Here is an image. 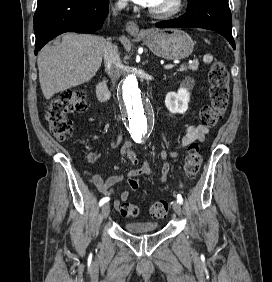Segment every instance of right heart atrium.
Segmentation results:
<instances>
[{
	"label": "right heart atrium",
	"mask_w": 272,
	"mask_h": 282,
	"mask_svg": "<svg viewBox=\"0 0 272 282\" xmlns=\"http://www.w3.org/2000/svg\"><path fill=\"white\" fill-rule=\"evenodd\" d=\"M114 8L116 10H122L125 8V3L123 2V0H119L115 5Z\"/></svg>",
	"instance_id": "d8ad5b80"
}]
</instances>
